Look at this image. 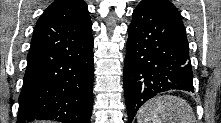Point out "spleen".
Returning a JSON list of instances; mask_svg holds the SVG:
<instances>
[{
	"instance_id": "obj_1",
	"label": "spleen",
	"mask_w": 221,
	"mask_h": 123,
	"mask_svg": "<svg viewBox=\"0 0 221 123\" xmlns=\"http://www.w3.org/2000/svg\"><path fill=\"white\" fill-rule=\"evenodd\" d=\"M138 123H195L191 106L182 98L164 95L152 98L137 112Z\"/></svg>"
}]
</instances>
